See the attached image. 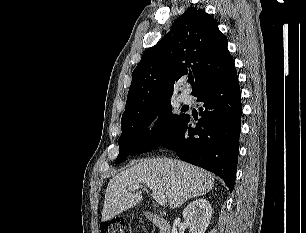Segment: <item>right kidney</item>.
<instances>
[{"label":"right kidney","mask_w":306,"mask_h":233,"mask_svg":"<svg viewBox=\"0 0 306 233\" xmlns=\"http://www.w3.org/2000/svg\"><path fill=\"white\" fill-rule=\"evenodd\" d=\"M183 218L190 228V233H205L212 217V207L206 199H197L183 210ZM180 219L174 221L172 233H178Z\"/></svg>","instance_id":"ca27d5eb"}]
</instances>
